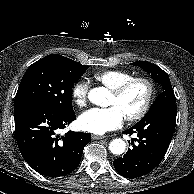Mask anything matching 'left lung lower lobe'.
I'll list each match as a JSON object with an SVG mask.
<instances>
[{
    "mask_svg": "<svg viewBox=\"0 0 194 194\" xmlns=\"http://www.w3.org/2000/svg\"><path fill=\"white\" fill-rule=\"evenodd\" d=\"M176 102L158 105L124 134H137V146L116 160L114 167L122 176L134 179L156 168L162 161L171 142L176 125Z\"/></svg>",
    "mask_w": 194,
    "mask_h": 194,
    "instance_id": "0a47b994",
    "label": "left lung lower lobe"
}]
</instances>
